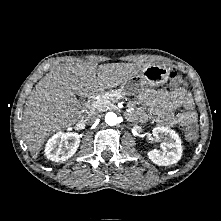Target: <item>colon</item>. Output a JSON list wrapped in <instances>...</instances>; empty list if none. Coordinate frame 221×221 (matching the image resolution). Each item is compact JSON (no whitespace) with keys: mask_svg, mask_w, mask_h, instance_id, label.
Returning <instances> with one entry per match:
<instances>
[{"mask_svg":"<svg viewBox=\"0 0 221 221\" xmlns=\"http://www.w3.org/2000/svg\"><path fill=\"white\" fill-rule=\"evenodd\" d=\"M183 84V78L176 72L170 74V87L172 89L179 88ZM186 137L188 140L193 141L197 138L198 128L194 121L185 122L182 124Z\"/></svg>","mask_w":221,"mask_h":221,"instance_id":"obj_1","label":"colon"}]
</instances>
